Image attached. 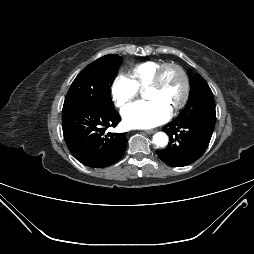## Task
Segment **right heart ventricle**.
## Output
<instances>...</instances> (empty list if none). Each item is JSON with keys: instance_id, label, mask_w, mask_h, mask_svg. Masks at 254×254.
<instances>
[{"instance_id": "e07e8e85", "label": "right heart ventricle", "mask_w": 254, "mask_h": 254, "mask_svg": "<svg viewBox=\"0 0 254 254\" xmlns=\"http://www.w3.org/2000/svg\"><path fill=\"white\" fill-rule=\"evenodd\" d=\"M161 65L162 63L158 61H144L132 66L128 71V76L138 89H144L149 85Z\"/></svg>"}]
</instances>
